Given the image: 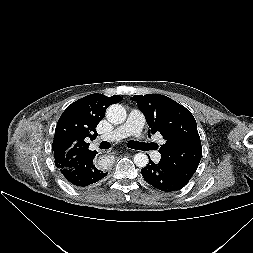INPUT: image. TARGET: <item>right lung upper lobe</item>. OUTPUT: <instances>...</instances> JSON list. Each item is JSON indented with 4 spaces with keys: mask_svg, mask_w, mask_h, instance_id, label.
Instances as JSON below:
<instances>
[{
    "mask_svg": "<svg viewBox=\"0 0 253 253\" xmlns=\"http://www.w3.org/2000/svg\"><path fill=\"white\" fill-rule=\"evenodd\" d=\"M121 100L119 95L107 97L96 93L75 101L65 109L57 123L52 144L58 169L73 168L95 157L96 152L89 150L85 139L98 136L96 127L104 118L106 109Z\"/></svg>",
    "mask_w": 253,
    "mask_h": 253,
    "instance_id": "cb5924a9",
    "label": "right lung upper lobe"
}]
</instances>
